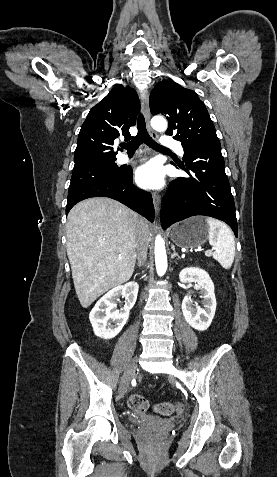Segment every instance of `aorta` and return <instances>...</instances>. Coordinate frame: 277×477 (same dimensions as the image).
Segmentation results:
<instances>
[{"instance_id": "obj_1", "label": "aorta", "mask_w": 277, "mask_h": 477, "mask_svg": "<svg viewBox=\"0 0 277 477\" xmlns=\"http://www.w3.org/2000/svg\"><path fill=\"white\" fill-rule=\"evenodd\" d=\"M151 126L155 130L163 132L167 129V121L161 116H155L151 120ZM154 253L157 274L163 276L167 270V255L164 240L160 235L155 239Z\"/></svg>"}]
</instances>
